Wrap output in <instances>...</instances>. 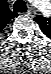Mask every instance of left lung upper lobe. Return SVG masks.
<instances>
[{"label": "left lung upper lobe", "instance_id": "obj_1", "mask_svg": "<svg viewBox=\"0 0 51 74\" xmlns=\"http://www.w3.org/2000/svg\"><path fill=\"white\" fill-rule=\"evenodd\" d=\"M44 19L45 18H43L42 16H37V17L34 18V20L36 22H38L39 25H43Z\"/></svg>", "mask_w": 51, "mask_h": 74}]
</instances>
